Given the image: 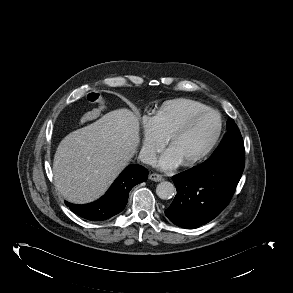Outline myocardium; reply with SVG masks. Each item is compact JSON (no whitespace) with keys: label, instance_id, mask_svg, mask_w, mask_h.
<instances>
[{"label":"myocardium","instance_id":"myocardium-1","mask_svg":"<svg viewBox=\"0 0 293 293\" xmlns=\"http://www.w3.org/2000/svg\"><path fill=\"white\" fill-rule=\"evenodd\" d=\"M207 114H214L217 116L218 119V126H217V130L216 133L214 134L213 138L211 139V141L208 143V145L194 158L182 162V165L185 167H192L200 162H202L210 153L211 151L214 149V147L216 146L221 133H222V128H223V122H222V117L220 115V113L214 109L208 108L199 112H196L194 114H192L191 116H189L179 127H177L167 138V145L168 147L170 146V144L179 136L183 135L190 127L191 125L198 120L199 118H201L202 116H205Z\"/></svg>","mask_w":293,"mask_h":293}]
</instances>
